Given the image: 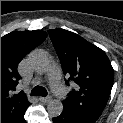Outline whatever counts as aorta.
<instances>
[{
	"mask_svg": "<svg viewBox=\"0 0 123 123\" xmlns=\"http://www.w3.org/2000/svg\"><path fill=\"white\" fill-rule=\"evenodd\" d=\"M29 64L37 72H45L48 70L50 61L46 52L42 50H34L29 54ZM48 113L53 117H58L63 111V104L58 99H52L47 105Z\"/></svg>",
	"mask_w": 123,
	"mask_h": 123,
	"instance_id": "1",
	"label": "aorta"
}]
</instances>
